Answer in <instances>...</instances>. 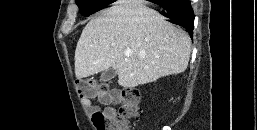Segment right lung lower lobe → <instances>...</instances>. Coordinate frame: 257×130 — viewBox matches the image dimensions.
<instances>
[{
    "label": "right lung lower lobe",
    "mask_w": 257,
    "mask_h": 130,
    "mask_svg": "<svg viewBox=\"0 0 257 130\" xmlns=\"http://www.w3.org/2000/svg\"><path fill=\"white\" fill-rule=\"evenodd\" d=\"M154 3L163 8L162 14L168 18L169 22L189 30L192 36L194 13L189 0H164Z\"/></svg>",
    "instance_id": "1"
}]
</instances>
